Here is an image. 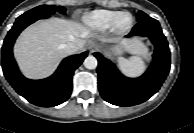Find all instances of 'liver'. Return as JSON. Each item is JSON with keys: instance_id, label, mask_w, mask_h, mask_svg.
Returning a JSON list of instances; mask_svg holds the SVG:
<instances>
[{"instance_id": "liver-1", "label": "liver", "mask_w": 194, "mask_h": 133, "mask_svg": "<svg viewBox=\"0 0 194 133\" xmlns=\"http://www.w3.org/2000/svg\"><path fill=\"white\" fill-rule=\"evenodd\" d=\"M90 37V30L77 22L51 18L39 21L21 33L14 46V56L25 76L45 78L67 55L63 48L65 44L73 43L78 51H82ZM121 44L131 54H146L148 51L138 39L123 40Z\"/></svg>"}]
</instances>
